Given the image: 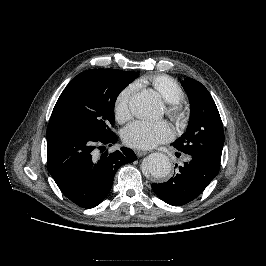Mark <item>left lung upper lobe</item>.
Wrapping results in <instances>:
<instances>
[{
	"instance_id": "5c2ea615",
	"label": "left lung upper lobe",
	"mask_w": 266,
	"mask_h": 266,
	"mask_svg": "<svg viewBox=\"0 0 266 266\" xmlns=\"http://www.w3.org/2000/svg\"><path fill=\"white\" fill-rule=\"evenodd\" d=\"M181 85L187 92L191 113L186 132L172 145L220 167L224 131L216 104L200 82L186 78Z\"/></svg>"
}]
</instances>
